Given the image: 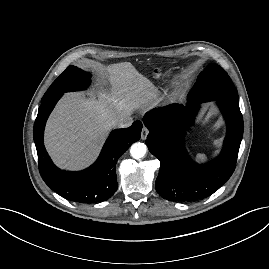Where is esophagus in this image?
Instances as JSON below:
<instances>
[{
  "label": "esophagus",
  "mask_w": 269,
  "mask_h": 269,
  "mask_svg": "<svg viewBox=\"0 0 269 269\" xmlns=\"http://www.w3.org/2000/svg\"><path fill=\"white\" fill-rule=\"evenodd\" d=\"M148 133H149V130L144 126L141 131V139L145 140L147 138Z\"/></svg>",
  "instance_id": "esophagus-1"
}]
</instances>
